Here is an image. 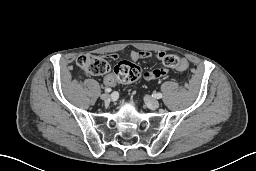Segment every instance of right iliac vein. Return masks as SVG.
I'll list each match as a JSON object with an SVG mask.
<instances>
[{"mask_svg": "<svg viewBox=\"0 0 256 171\" xmlns=\"http://www.w3.org/2000/svg\"><path fill=\"white\" fill-rule=\"evenodd\" d=\"M101 99H102L104 102H107V101H109V99H110V95L107 94V93H104V94L101 95Z\"/></svg>", "mask_w": 256, "mask_h": 171, "instance_id": "63e3f726", "label": "right iliac vein"}]
</instances>
